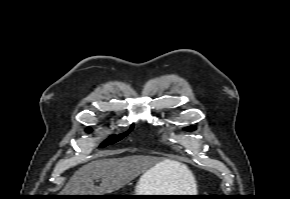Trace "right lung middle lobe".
I'll use <instances>...</instances> for the list:
<instances>
[{"label":"right lung middle lobe","instance_id":"dd1d6c3e","mask_svg":"<svg viewBox=\"0 0 290 199\" xmlns=\"http://www.w3.org/2000/svg\"><path fill=\"white\" fill-rule=\"evenodd\" d=\"M127 134H128V132L121 134V135H114V136L110 137L109 139H107L103 144H101L100 147H104L106 145H111V144L121 140Z\"/></svg>","mask_w":290,"mask_h":199}]
</instances>
